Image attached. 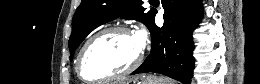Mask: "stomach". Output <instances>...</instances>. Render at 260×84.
Wrapping results in <instances>:
<instances>
[{
    "instance_id": "obj_1",
    "label": "stomach",
    "mask_w": 260,
    "mask_h": 84,
    "mask_svg": "<svg viewBox=\"0 0 260 84\" xmlns=\"http://www.w3.org/2000/svg\"><path fill=\"white\" fill-rule=\"evenodd\" d=\"M133 84H172V83L166 77L147 75L145 77H141L139 80L134 81Z\"/></svg>"
}]
</instances>
